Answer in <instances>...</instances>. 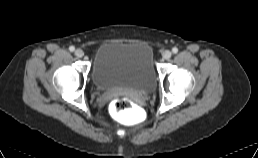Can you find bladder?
Wrapping results in <instances>:
<instances>
[{
    "instance_id": "obj_1",
    "label": "bladder",
    "mask_w": 258,
    "mask_h": 158,
    "mask_svg": "<svg viewBox=\"0 0 258 158\" xmlns=\"http://www.w3.org/2000/svg\"><path fill=\"white\" fill-rule=\"evenodd\" d=\"M92 80L101 90L127 88L143 93L153 91L156 71L152 48L145 43L101 44L93 58Z\"/></svg>"
}]
</instances>
